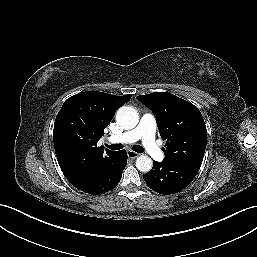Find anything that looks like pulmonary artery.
<instances>
[{
    "instance_id": "obj_1",
    "label": "pulmonary artery",
    "mask_w": 257,
    "mask_h": 257,
    "mask_svg": "<svg viewBox=\"0 0 257 257\" xmlns=\"http://www.w3.org/2000/svg\"><path fill=\"white\" fill-rule=\"evenodd\" d=\"M156 128L155 116L151 113H145L136 128L121 135L110 137L109 141L130 144L140 140L148 154L153 159L160 161L163 159L164 155L155 142Z\"/></svg>"
}]
</instances>
